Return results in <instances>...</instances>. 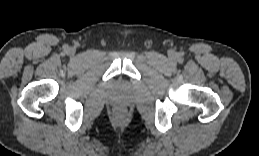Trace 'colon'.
Listing matches in <instances>:
<instances>
[{
    "instance_id": "colon-1",
    "label": "colon",
    "mask_w": 259,
    "mask_h": 156,
    "mask_svg": "<svg viewBox=\"0 0 259 156\" xmlns=\"http://www.w3.org/2000/svg\"><path fill=\"white\" fill-rule=\"evenodd\" d=\"M125 115V110L123 108H117L116 110V116L118 118H123Z\"/></svg>"
}]
</instances>
